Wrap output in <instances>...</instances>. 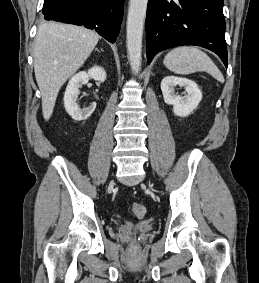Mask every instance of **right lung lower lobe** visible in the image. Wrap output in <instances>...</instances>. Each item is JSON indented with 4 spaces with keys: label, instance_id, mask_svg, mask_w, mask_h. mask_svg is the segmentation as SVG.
I'll return each instance as SVG.
<instances>
[{
    "label": "right lung lower lobe",
    "instance_id": "right-lung-lower-lobe-1",
    "mask_svg": "<svg viewBox=\"0 0 259 283\" xmlns=\"http://www.w3.org/2000/svg\"><path fill=\"white\" fill-rule=\"evenodd\" d=\"M125 0H45L43 15L54 20L94 29L114 43L123 17Z\"/></svg>",
    "mask_w": 259,
    "mask_h": 283
}]
</instances>
